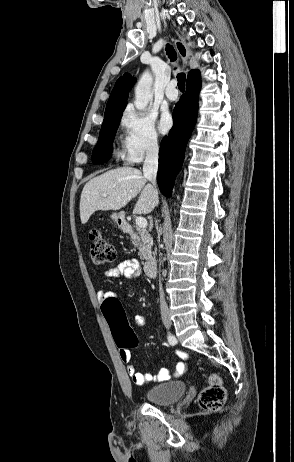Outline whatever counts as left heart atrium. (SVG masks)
I'll return each instance as SVG.
<instances>
[{
  "label": "left heart atrium",
  "instance_id": "left-heart-atrium-1",
  "mask_svg": "<svg viewBox=\"0 0 294 462\" xmlns=\"http://www.w3.org/2000/svg\"><path fill=\"white\" fill-rule=\"evenodd\" d=\"M172 117L168 113H163L159 121V129L162 133H167L172 127Z\"/></svg>",
  "mask_w": 294,
  "mask_h": 462
}]
</instances>
